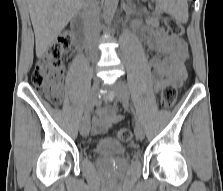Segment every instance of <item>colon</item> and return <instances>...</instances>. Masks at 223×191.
I'll use <instances>...</instances> for the list:
<instances>
[{"instance_id": "5ec220e1", "label": "colon", "mask_w": 223, "mask_h": 191, "mask_svg": "<svg viewBox=\"0 0 223 191\" xmlns=\"http://www.w3.org/2000/svg\"><path fill=\"white\" fill-rule=\"evenodd\" d=\"M165 25L170 33L176 37L184 34L183 26L172 18L165 20ZM72 37L63 34L53 43L46 55L37 61L31 75V82L35 90L54 105H60L63 97L62 78L64 65L62 56L70 49ZM177 98V89L174 84L167 83L161 90V104L164 108H171ZM117 137L123 142H129L132 132L127 128L117 131Z\"/></svg>"}]
</instances>
